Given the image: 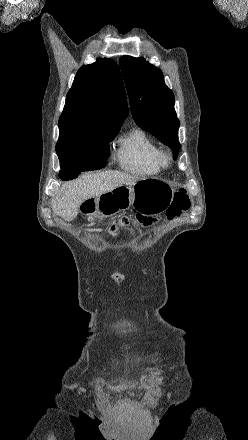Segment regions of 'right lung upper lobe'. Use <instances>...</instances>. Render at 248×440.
<instances>
[{
  "label": "right lung upper lobe",
  "mask_w": 248,
  "mask_h": 440,
  "mask_svg": "<svg viewBox=\"0 0 248 440\" xmlns=\"http://www.w3.org/2000/svg\"><path fill=\"white\" fill-rule=\"evenodd\" d=\"M128 107L122 76L112 59L99 58L82 66L67 94L59 119L56 148L74 144L99 132L120 130Z\"/></svg>",
  "instance_id": "1"
}]
</instances>
